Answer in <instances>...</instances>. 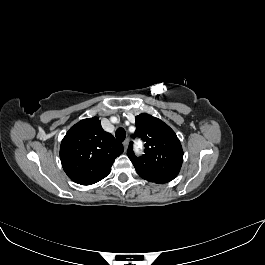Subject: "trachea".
<instances>
[{"instance_id": "obj_1", "label": "trachea", "mask_w": 265, "mask_h": 265, "mask_svg": "<svg viewBox=\"0 0 265 265\" xmlns=\"http://www.w3.org/2000/svg\"><path fill=\"white\" fill-rule=\"evenodd\" d=\"M115 136L118 141L122 142L126 137V132L123 128H118L116 130Z\"/></svg>"}]
</instances>
